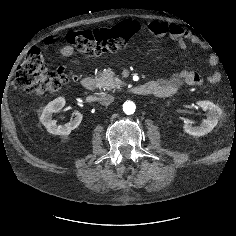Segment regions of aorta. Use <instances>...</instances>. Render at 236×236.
Returning a JSON list of instances; mask_svg holds the SVG:
<instances>
[{
  "mask_svg": "<svg viewBox=\"0 0 236 236\" xmlns=\"http://www.w3.org/2000/svg\"><path fill=\"white\" fill-rule=\"evenodd\" d=\"M136 105L133 101H126L123 104V112L127 115H131L135 112Z\"/></svg>",
  "mask_w": 236,
  "mask_h": 236,
  "instance_id": "762f6f07",
  "label": "aorta"
}]
</instances>
